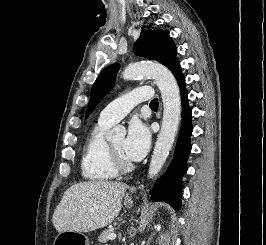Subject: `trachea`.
<instances>
[{"label": "trachea", "mask_w": 266, "mask_h": 245, "mask_svg": "<svg viewBox=\"0 0 266 245\" xmlns=\"http://www.w3.org/2000/svg\"><path fill=\"white\" fill-rule=\"evenodd\" d=\"M150 105H158V99L154 98L151 102Z\"/></svg>", "instance_id": "1"}]
</instances>
